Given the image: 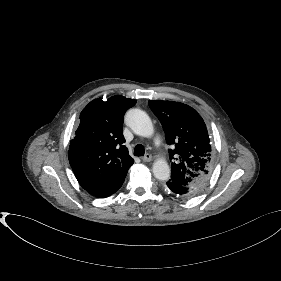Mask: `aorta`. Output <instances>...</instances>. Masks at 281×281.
Segmentation results:
<instances>
[{
    "mask_svg": "<svg viewBox=\"0 0 281 281\" xmlns=\"http://www.w3.org/2000/svg\"><path fill=\"white\" fill-rule=\"evenodd\" d=\"M125 122L139 136L150 137L154 133L150 117L141 109H130L125 115ZM152 169L156 179L161 181L169 179L170 167L164 159L156 160Z\"/></svg>",
    "mask_w": 281,
    "mask_h": 281,
    "instance_id": "762f6f07",
    "label": "aorta"
}]
</instances>
